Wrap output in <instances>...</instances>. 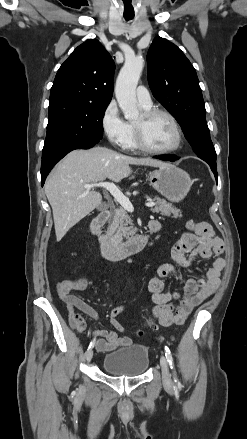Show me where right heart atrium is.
<instances>
[{"label":"right heart atrium","instance_id":"d8ad5b80","mask_svg":"<svg viewBox=\"0 0 247 439\" xmlns=\"http://www.w3.org/2000/svg\"><path fill=\"white\" fill-rule=\"evenodd\" d=\"M101 128L110 144L123 147L129 133L128 123L122 118L117 104L112 101L101 116Z\"/></svg>","mask_w":247,"mask_h":439}]
</instances>
